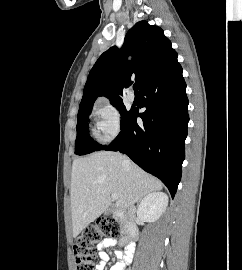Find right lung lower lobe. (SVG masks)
Listing matches in <instances>:
<instances>
[{
    "instance_id": "98d812e1",
    "label": "right lung lower lobe",
    "mask_w": 242,
    "mask_h": 270,
    "mask_svg": "<svg viewBox=\"0 0 242 270\" xmlns=\"http://www.w3.org/2000/svg\"><path fill=\"white\" fill-rule=\"evenodd\" d=\"M182 67L176 61L141 89L146 111L132 110L119 135L102 149L127 154L137 165L158 177L174 197L181 179L187 136L188 99ZM141 117L143 125L137 124Z\"/></svg>"
}]
</instances>
